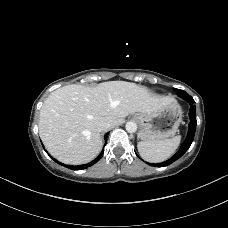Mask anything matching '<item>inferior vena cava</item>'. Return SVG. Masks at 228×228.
Listing matches in <instances>:
<instances>
[{"mask_svg":"<svg viewBox=\"0 0 228 228\" xmlns=\"http://www.w3.org/2000/svg\"><path fill=\"white\" fill-rule=\"evenodd\" d=\"M110 128H111V124H110L109 122H101V123H99L98 126H97V130H98L99 132L108 130V129H110Z\"/></svg>","mask_w":228,"mask_h":228,"instance_id":"602c4592","label":"inferior vena cava"}]
</instances>
